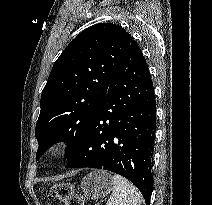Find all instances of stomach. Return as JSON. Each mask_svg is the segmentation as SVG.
<instances>
[{
    "label": "stomach",
    "instance_id": "0dacf381",
    "mask_svg": "<svg viewBox=\"0 0 212 205\" xmlns=\"http://www.w3.org/2000/svg\"><path fill=\"white\" fill-rule=\"evenodd\" d=\"M81 189L86 198L99 200L112 190V180L105 171H93L81 181Z\"/></svg>",
    "mask_w": 212,
    "mask_h": 205
}]
</instances>
